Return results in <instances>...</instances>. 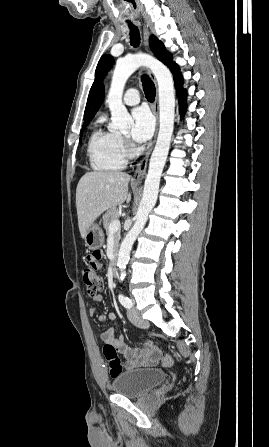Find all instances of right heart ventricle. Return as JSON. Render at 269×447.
Wrapping results in <instances>:
<instances>
[{"mask_svg":"<svg viewBox=\"0 0 269 447\" xmlns=\"http://www.w3.org/2000/svg\"><path fill=\"white\" fill-rule=\"evenodd\" d=\"M90 165L95 170L120 169L126 162L120 134L104 126L103 118L99 120L89 143Z\"/></svg>","mask_w":269,"mask_h":447,"instance_id":"right-heart-ventricle-1","label":"right heart ventricle"}]
</instances>
